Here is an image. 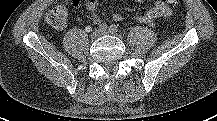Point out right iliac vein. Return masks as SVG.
<instances>
[{"instance_id":"1","label":"right iliac vein","mask_w":217,"mask_h":121,"mask_svg":"<svg viewBox=\"0 0 217 121\" xmlns=\"http://www.w3.org/2000/svg\"><path fill=\"white\" fill-rule=\"evenodd\" d=\"M100 35H101V31H100V30H95V31L91 34V38H92V39H97Z\"/></svg>"}]
</instances>
